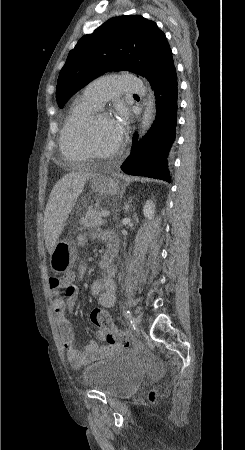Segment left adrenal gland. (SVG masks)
I'll return each mask as SVG.
<instances>
[{"label": "left adrenal gland", "instance_id": "obj_1", "mask_svg": "<svg viewBox=\"0 0 245 450\" xmlns=\"http://www.w3.org/2000/svg\"><path fill=\"white\" fill-rule=\"evenodd\" d=\"M132 202V200H130V201H128V202H125V206H124V210H125V213L128 211V209H129V204Z\"/></svg>", "mask_w": 245, "mask_h": 450}]
</instances>
